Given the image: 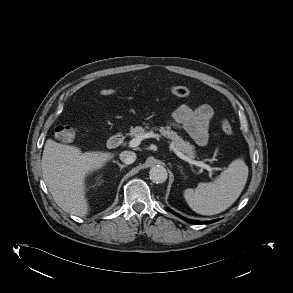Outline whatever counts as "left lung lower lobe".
Masks as SVG:
<instances>
[{
    "instance_id": "obj_1",
    "label": "left lung lower lobe",
    "mask_w": 293,
    "mask_h": 293,
    "mask_svg": "<svg viewBox=\"0 0 293 293\" xmlns=\"http://www.w3.org/2000/svg\"><path fill=\"white\" fill-rule=\"evenodd\" d=\"M172 212V211H171ZM173 214H175V215H177V216H179L180 218H182L183 220H185V221H187V222H189V223H192V224H208V223H212V222H215V221H217V220H213V221H195V220H191V219H186L185 217H183V216H181V215H179V214H176V213H174V212H172Z\"/></svg>"
}]
</instances>
